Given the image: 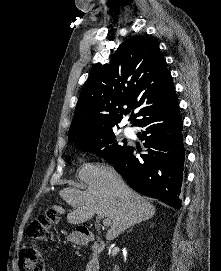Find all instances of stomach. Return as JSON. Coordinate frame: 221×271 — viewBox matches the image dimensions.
Instances as JSON below:
<instances>
[{"instance_id":"stomach-1","label":"stomach","mask_w":221,"mask_h":271,"mask_svg":"<svg viewBox=\"0 0 221 271\" xmlns=\"http://www.w3.org/2000/svg\"><path fill=\"white\" fill-rule=\"evenodd\" d=\"M68 238H79V233H68Z\"/></svg>"}]
</instances>
